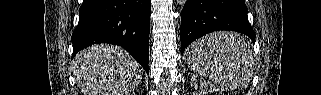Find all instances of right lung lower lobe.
I'll list each match as a JSON object with an SVG mask.
<instances>
[{
	"instance_id": "98d812e1",
	"label": "right lung lower lobe",
	"mask_w": 321,
	"mask_h": 95,
	"mask_svg": "<svg viewBox=\"0 0 321 95\" xmlns=\"http://www.w3.org/2000/svg\"><path fill=\"white\" fill-rule=\"evenodd\" d=\"M150 13L151 0H84L72 35V57L92 44H116L148 74Z\"/></svg>"
}]
</instances>
